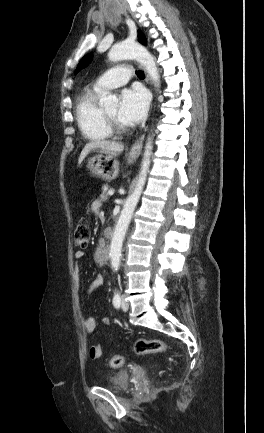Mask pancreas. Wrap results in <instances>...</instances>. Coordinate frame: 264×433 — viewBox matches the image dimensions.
<instances>
[{
  "label": "pancreas",
  "instance_id": "pancreas-1",
  "mask_svg": "<svg viewBox=\"0 0 264 433\" xmlns=\"http://www.w3.org/2000/svg\"><path fill=\"white\" fill-rule=\"evenodd\" d=\"M108 189H109V186L107 184H104L102 186V193L100 195V200L102 202H105L108 199V196H109V194L107 193Z\"/></svg>",
  "mask_w": 264,
  "mask_h": 433
}]
</instances>
